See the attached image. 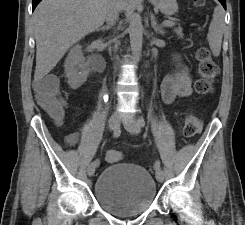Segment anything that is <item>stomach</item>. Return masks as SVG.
<instances>
[{
    "label": "stomach",
    "mask_w": 245,
    "mask_h": 225,
    "mask_svg": "<svg viewBox=\"0 0 245 225\" xmlns=\"http://www.w3.org/2000/svg\"><path fill=\"white\" fill-rule=\"evenodd\" d=\"M149 2L165 15H174L178 11L176 0H149Z\"/></svg>",
    "instance_id": "stomach-1"
}]
</instances>
